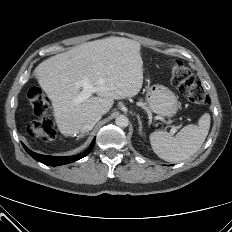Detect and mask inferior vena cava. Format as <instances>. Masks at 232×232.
Instances as JSON below:
<instances>
[{"label": "inferior vena cava", "mask_w": 232, "mask_h": 232, "mask_svg": "<svg viewBox=\"0 0 232 232\" xmlns=\"http://www.w3.org/2000/svg\"><path fill=\"white\" fill-rule=\"evenodd\" d=\"M101 119V114H92L87 119L86 122L81 126L80 132L85 133L94 127V125Z\"/></svg>", "instance_id": "1"}]
</instances>
